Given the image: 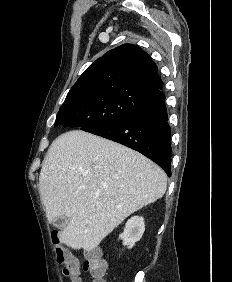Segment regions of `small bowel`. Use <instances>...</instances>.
<instances>
[{
  "instance_id": "obj_1",
  "label": "small bowel",
  "mask_w": 232,
  "mask_h": 282,
  "mask_svg": "<svg viewBox=\"0 0 232 282\" xmlns=\"http://www.w3.org/2000/svg\"><path fill=\"white\" fill-rule=\"evenodd\" d=\"M72 280H73L72 282H83L80 277H79V278H76V279H72Z\"/></svg>"
}]
</instances>
